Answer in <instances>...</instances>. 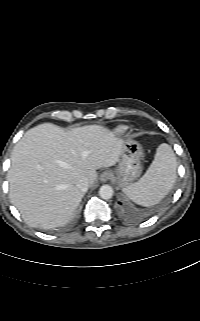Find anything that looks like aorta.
Masks as SVG:
<instances>
[{"instance_id": "aorta-1", "label": "aorta", "mask_w": 200, "mask_h": 321, "mask_svg": "<svg viewBox=\"0 0 200 321\" xmlns=\"http://www.w3.org/2000/svg\"><path fill=\"white\" fill-rule=\"evenodd\" d=\"M113 194V188L109 185H103L99 189V195L104 200L112 198Z\"/></svg>"}]
</instances>
